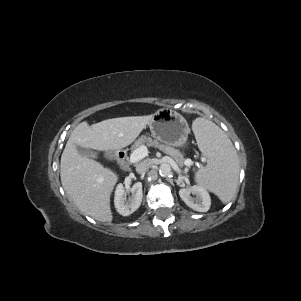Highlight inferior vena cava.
Returning a JSON list of instances; mask_svg holds the SVG:
<instances>
[{"label": "inferior vena cava", "instance_id": "inferior-vena-cava-1", "mask_svg": "<svg viewBox=\"0 0 301 301\" xmlns=\"http://www.w3.org/2000/svg\"><path fill=\"white\" fill-rule=\"evenodd\" d=\"M150 166H151V161L149 159H146L137 164L136 171L137 173H144L150 168Z\"/></svg>", "mask_w": 301, "mask_h": 301}]
</instances>
